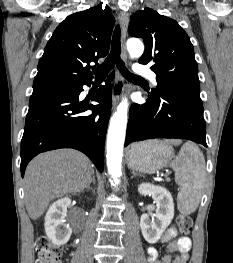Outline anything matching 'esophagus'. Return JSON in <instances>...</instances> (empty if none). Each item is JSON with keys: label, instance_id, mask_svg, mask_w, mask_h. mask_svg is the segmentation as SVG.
Returning a JSON list of instances; mask_svg holds the SVG:
<instances>
[{"label": "esophagus", "instance_id": "1", "mask_svg": "<svg viewBox=\"0 0 233 263\" xmlns=\"http://www.w3.org/2000/svg\"><path fill=\"white\" fill-rule=\"evenodd\" d=\"M120 24H121V41H122V59H126V47H125V40L127 35V29L129 24V14L125 11L120 12ZM124 91V80L123 77L119 72H117L116 79L113 86L112 92V102L113 106L115 107L119 101L120 96Z\"/></svg>", "mask_w": 233, "mask_h": 263}]
</instances>
